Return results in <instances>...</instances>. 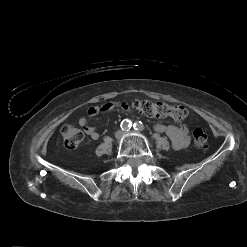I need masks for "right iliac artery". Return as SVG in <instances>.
<instances>
[{
  "instance_id": "obj_1",
  "label": "right iliac artery",
  "mask_w": 247,
  "mask_h": 247,
  "mask_svg": "<svg viewBox=\"0 0 247 247\" xmlns=\"http://www.w3.org/2000/svg\"><path fill=\"white\" fill-rule=\"evenodd\" d=\"M131 126H132V122L128 119H124L120 125L121 129L126 131H128L131 128Z\"/></svg>"
}]
</instances>
